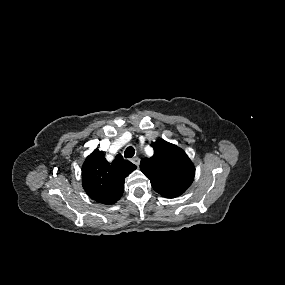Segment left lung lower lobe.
<instances>
[{
    "label": "left lung lower lobe",
    "instance_id": "left-lung-lower-lobe-1",
    "mask_svg": "<svg viewBox=\"0 0 285 285\" xmlns=\"http://www.w3.org/2000/svg\"><path fill=\"white\" fill-rule=\"evenodd\" d=\"M181 194H176V193H166V194H163L164 197H167V198H175L177 196H179Z\"/></svg>",
    "mask_w": 285,
    "mask_h": 285
}]
</instances>
